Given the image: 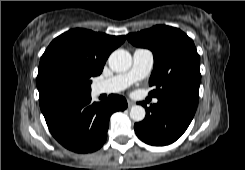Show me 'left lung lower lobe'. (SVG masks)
<instances>
[{
    "label": "left lung lower lobe",
    "instance_id": "0a47b994",
    "mask_svg": "<svg viewBox=\"0 0 245 170\" xmlns=\"http://www.w3.org/2000/svg\"><path fill=\"white\" fill-rule=\"evenodd\" d=\"M197 102L181 97L158 98L157 104L146 107V117L134 125L137 136L145 143L163 146L175 142L188 128Z\"/></svg>",
    "mask_w": 245,
    "mask_h": 170
}]
</instances>
